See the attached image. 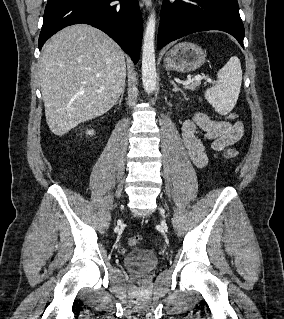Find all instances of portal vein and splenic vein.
Listing matches in <instances>:
<instances>
[{
  "instance_id": "obj_1",
  "label": "portal vein and splenic vein",
  "mask_w": 284,
  "mask_h": 319,
  "mask_svg": "<svg viewBox=\"0 0 284 319\" xmlns=\"http://www.w3.org/2000/svg\"><path fill=\"white\" fill-rule=\"evenodd\" d=\"M203 79H205V80H206L207 82H209V83H213V82L211 81V79H208V78H206V77H204V76H202V75H196L194 78L188 79L187 81H185V82L183 83V85H184V86H187V85L190 84V83L200 82V81L203 80Z\"/></svg>"
}]
</instances>
